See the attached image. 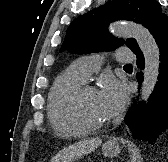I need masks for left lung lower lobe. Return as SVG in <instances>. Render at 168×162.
<instances>
[{
	"label": "left lung lower lobe",
	"mask_w": 168,
	"mask_h": 162,
	"mask_svg": "<svg viewBox=\"0 0 168 162\" xmlns=\"http://www.w3.org/2000/svg\"><path fill=\"white\" fill-rule=\"evenodd\" d=\"M160 51L159 76L155 89L147 104H135L129 109L125 124L128 126L134 139L155 142L158 134L168 126V17L163 15L149 28ZM138 68L144 69V56L142 51L135 49ZM136 78L142 84L143 76L137 73Z\"/></svg>",
	"instance_id": "obj_1"
}]
</instances>
